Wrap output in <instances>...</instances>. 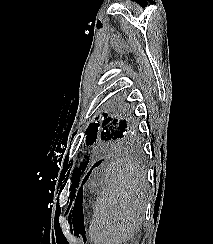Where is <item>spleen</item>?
<instances>
[{
	"label": "spleen",
	"mask_w": 213,
	"mask_h": 244,
	"mask_svg": "<svg viewBox=\"0 0 213 244\" xmlns=\"http://www.w3.org/2000/svg\"><path fill=\"white\" fill-rule=\"evenodd\" d=\"M106 187L96 198L90 235L96 244H122L140 230L148 183L131 162L116 159L103 168Z\"/></svg>",
	"instance_id": "3e777b00"
}]
</instances>
